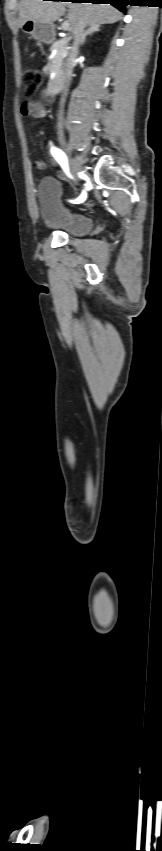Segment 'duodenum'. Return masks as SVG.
Wrapping results in <instances>:
<instances>
[{
    "instance_id": "obj_1",
    "label": "duodenum",
    "mask_w": 162,
    "mask_h": 851,
    "mask_svg": "<svg viewBox=\"0 0 162 851\" xmlns=\"http://www.w3.org/2000/svg\"><path fill=\"white\" fill-rule=\"evenodd\" d=\"M61 84H62V82H61L60 78H54V79H50L48 81L47 87H49L51 89V94H50L51 96L56 95L60 91Z\"/></svg>"
}]
</instances>
